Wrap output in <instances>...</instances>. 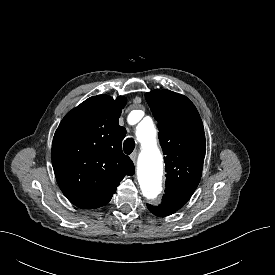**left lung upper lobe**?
I'll use <instances>...</instances> for the list:
<instances>
[{
	"label": "left lung upper lobe",
	"instance_id": "obj_1",
	"mask_svg": "<svg viewBox=\"0 0 275 275\" xmlns=\"http://www.w3.org/2000/svg\"><path fill=\"white\" fill-rule=\"evenodd\" d=\"M145 97L165 155L164 197L190 198L200 182L206 151L200 115L187 97L170 90H153Z\"/></svg>",
	"mask_w": 275,
	"mask_h": 275
}]
</instances>
